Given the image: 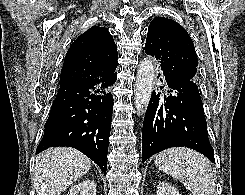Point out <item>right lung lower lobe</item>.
Wrapping results in <instances>:
<instances>
[{"mask_svg": "<svg viewBox=\"0 0 245 195\" xmlns=\"http://www.w3.org/2000/svg\"><path fill=\"white\" fill-rule=\"evenodd\" d=\"M116 79L117 73L98 70L90 79L60 84L36 154L49 147H73L105 173Z\"/></svg>", "mask_w": 245, "mask_h": 195, "instance_id": "1", "label": "right lung lower lobe"}]
</instances>
